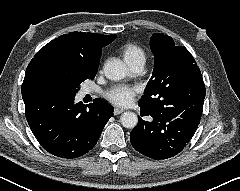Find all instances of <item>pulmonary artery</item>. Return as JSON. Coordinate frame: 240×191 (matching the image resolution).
I'll use <instances>...</instances> for the list:
<instances>
[{
    "instance_id": "obj_1",
    "label": "pulmonary artery",
    "mask_w": 240,
    "mask_h": 191,
    "mask_svg": "<svg viewBox=\"0 0 240 191\" xmlns=\"http://www.w3.org/2000/svg\"><path fill=\"white\" fill-rule=\"evenodd\" d=\"M145 60L144 59H136L131 62H128L129 67L134 72H140L143 69Z\"/></svg>"
}]
</instances>
